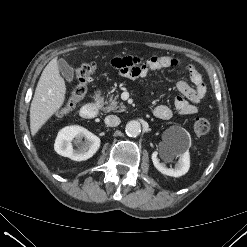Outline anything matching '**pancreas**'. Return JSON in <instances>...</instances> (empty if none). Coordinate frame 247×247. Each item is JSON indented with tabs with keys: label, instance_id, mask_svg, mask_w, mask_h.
Listing matches in <instances>:
<instances>
[{
	"label": "pancreas",
	"instance_id": "pancreas-1",
	"mask_svg": "<svg viewBox=\"0 0 247 247\" xmlns=\"http://www.w3.org/2000/svg\"><path fill=\"white\" fill-rule=\"evenodd\" d=\"M118 95H110L109 100L105 102V106L102 107L104 112H123L125 111V105L123 102L118 101Z\"/></svg>",
	"mask_w": 247,
	"mask_h": 247
}]
</instances>
